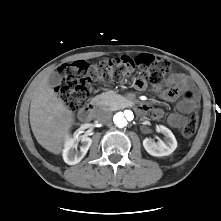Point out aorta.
Segmentation results:
<instances>
[{"instance_id": "762f6f07", "label": "aorta", "mask_w": 221, "mask_h": 221, "mask_svg": "<svg viewBox=\"0 0 221 221\" xmlns=\"http://www.w3.org/2000/svg\"><path fill=\"white\" fill-rule=\"evenodd\" d=\"M134 119V114L131 110H125L124 112H119L114 115L113 121L117 127L123 128L128 122Z\"/></svg>"}]
</instances>
